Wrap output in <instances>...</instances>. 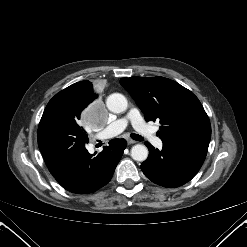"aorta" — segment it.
<instances>
[{"label":"aorta","instance_id":"obj_1","mask_svg":"<svg viewBox=\"0 0 247 247\" xmlns=\"http://www.w3.org/2000/svg\"><path fill=\"white\" fill-rule=\"evenodd\" d=\"M108 110L113 113H122L126 111L128 102L124 95L120 93H113L108 96L106 100ZM148 149L145 145L136 144L131 148V157L135 161L143 162L148 157Z\"/></svg>","mask_w":247,"mask_h":247}]
</instances>
